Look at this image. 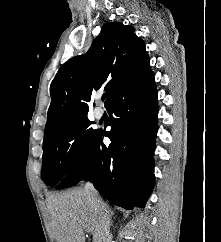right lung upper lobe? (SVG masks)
<instances>
[{
    "label": "right lung upper lobe",
    "instance_id": "1",
    "mask_svg": "<svg viewBox=\"0 0 221 242\" xmlns=\"http://www.w3.org/2000/svg\"><path fill=\"white\" fill-rule=\"evenodd\" d=\"M150 70L145 44L134 28L105 23L88 52L68 60L54 77L44 139L87 116L93 91L104 88L107 107L124 86Z\"/></svg>",
    "mask_w": 221,
    "mask_h": 242
}]
</instances>
